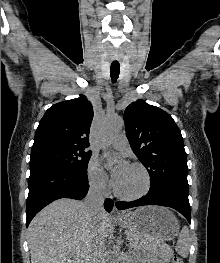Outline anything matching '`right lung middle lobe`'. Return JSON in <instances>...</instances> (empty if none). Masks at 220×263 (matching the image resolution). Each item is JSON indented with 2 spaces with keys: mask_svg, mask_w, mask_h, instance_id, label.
I'll use <instances>...</instances> for the list:
<instances>
[{
  "mask_svg": "<svg viewBox=\"0 0 220 263\" xmlns=\"http://www.w3.org/2000/svg\"><path fill=\"white\" fill-rule=\"evenodd\" d=\"M85 148H51L31 153L30 163L46 162L76 172H86L91 152Z\"/></svg>",
  "mask_w": 220,
  "mask_h": 263,
  "instance_id": "dd1d6c3e",
  "label": "right lung middle lobe"
}]
</instances>
